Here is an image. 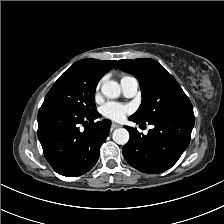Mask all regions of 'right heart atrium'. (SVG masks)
Returning a JSON list of instances; mask_svg holds the SVG:
<instances>
[{"label": "right heart atrium", "mask_w": 224, "mask_h": 224, "mask_svg": "<svg viewBox=\"0 0 224 224\" xmlns=\"http://www.w3.org/2000/svg\"><path fill=\"white\" fill-rule=\"evenodd\" d=\"M100 86H101V81L98 83V85L96 87V95L99 93Z\"/></svg>", "instance_id": "1"}]
</instances>
